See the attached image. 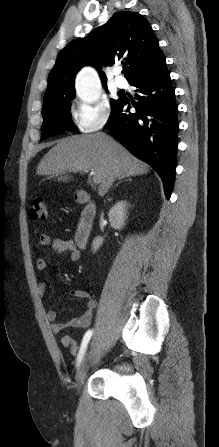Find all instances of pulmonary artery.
Listing matches in <instances>:
<instances>
[{"label":"pulmonary artery","mask_w":219,"mask_h":447,"mask_svg":"<svg viewBox=\"0 0 219 447\" xmlns=\"http://www.w3.org/2000/svg\"><path fill=\"white\" fill-rule=\"evenodd\" d=\"M119 70H116V74H118ZM115 84L118 88L123 89L127 86V82L124 78L120 77V76H116L115 78Z\"/></svg>","instance_id":"obj_1"}]
</instances>
